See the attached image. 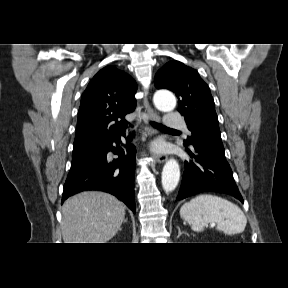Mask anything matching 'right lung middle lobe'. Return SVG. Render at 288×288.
I'll use <instances>...</instances> for the list:
<instances>
[{"label":"right lung middle lobe","mask_w":288,"mask_h":288,"mask_svg":"<svg viewBox=\"0 0 288 288\" xmlns=\"http://www.w3.org/2000/svg\"><path fill=\"white\" fill-rule=\"evenodd\" d=\"M85 154H86V153H85ZM82 155H84V154H80L79 152H73L72 159L81 157Z\"/></svg>","instance_id":"1"}]
</instances>
